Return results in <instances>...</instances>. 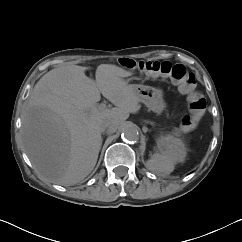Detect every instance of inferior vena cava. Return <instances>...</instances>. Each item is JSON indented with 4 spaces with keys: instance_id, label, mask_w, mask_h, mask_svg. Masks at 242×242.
<instances>
[{
    "instance_id": "inferior-vena-cava-1",
    "label": "inferior vena cava",
    "mask_w": 242,
    "mask_h": 242,
    "mask_svg": "<svg viewBox=\"0 0 242 242\" xmlns=\"http://www.w3.org/2000/svg\"><path fill=\"white\" fill-rule=\"evenodd\" d=\"M117 120L114 117L108 116L102 119L100 128L106 134H113L117 130Z\"/></svg>"
}]
</instances>
